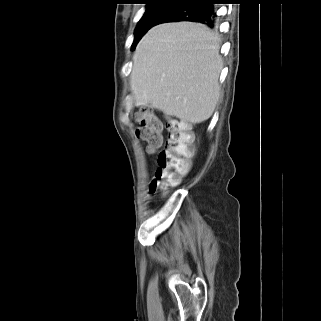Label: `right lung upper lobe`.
I'll use <instances>...</instances> for the list:
<instances>
[{"label":"right lung upper lobe","instance_id":"obj_1","mask_svg":"<svg viewBox=\"0 0 321 321\" xmlns=\"http://www.w3.org/2000/svg\"><path fill=\"white\" fill-rule=\"evenodd\" d=\"M145 1H146L147 4H148L149 2L157 1V0H145ZM172 1L175 2V5H180V4H183V3H185V2H187V1H189V0H172Z\"/></svg>","mask_w":321,"mask_h":321}]
</instances>
